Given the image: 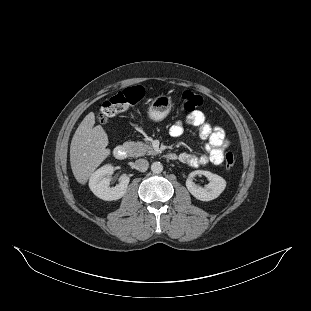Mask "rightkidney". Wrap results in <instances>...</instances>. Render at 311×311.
Wrapping results in <instances>:
<instances>
[{
    "label": "right kidney",
    "mask_w": 311,
    "mask_h": 311,
    "mask_svg": "<svg viewBox=\"0 0 311 311\" xmlns=\"http://www.w3.org/2000/svg\"><path fill=\"white\" fill-rule=\"evenodd\" d=\"M114 164L107 163L95 170L89 179L88 185L90 190L103 200L119 199L124 195L129 183L128 177H123L118 185L110 188L109 180L105 175L113 171Z\"/></svg>",
    "instance_id": "1"
}]
</instances>
